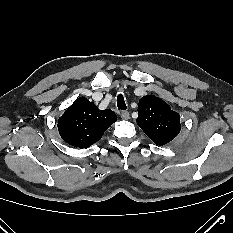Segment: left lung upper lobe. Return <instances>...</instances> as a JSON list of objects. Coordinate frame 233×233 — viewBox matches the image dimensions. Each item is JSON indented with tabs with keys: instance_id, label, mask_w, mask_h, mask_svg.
Here are the masks:
<instances>
[{
	"instance_id": "5c2ea615",
	"label": "left lung upper lobe",
	"mask_w": 233,
	"mask_h": 233,
	"mask_svg": "<svg viewBox=\"0 0 233 233\" xmlns=\"http://www.w3.org/2000/svg\"><path fill=\"white\" fill-rule=\"evenodd\" d=\"M137 124L157 145L173 140L181 130L180 115L154 95H147L138 103Z\"/></svg>"
}]
</instances>
